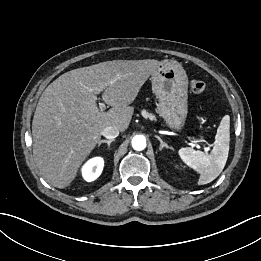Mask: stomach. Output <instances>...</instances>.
<instances>
[{"label":"stomach","instance_id":"stomach-1","mask_svg":"<svg viewBox=\"0 0 261 261\" xmlns=\"http://www.w3.org/2000/svg\"><path fill=\"white\" fill-rule=\"evenodd\" d=\"M151 82L158 99L157 113L169 128L182 130L188 113V77L182 65L169 60L160 62Z\"/></svg>","mask_w":261,"mask_h":261}]
</instances>
